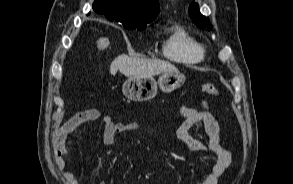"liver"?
<instances>
[{
    "mask_svg": "<svg viewBox=\"0 0 293 184\" xmlns=\"http://www.w3.org/2000/svg\"><path fill=\"white\" fill-rule=\"evenodd\" d=\"M118 70L127 77L153 76L164 72H178V69L168 61L129 57L125 54L116 57L110 65V73L112 75H115Z\"/></svg>",
    "mask_w": 293,
    "mask_h": 184,
    "instance_id": "6515ba94",
    "label": "liver"
}]
</instances>
